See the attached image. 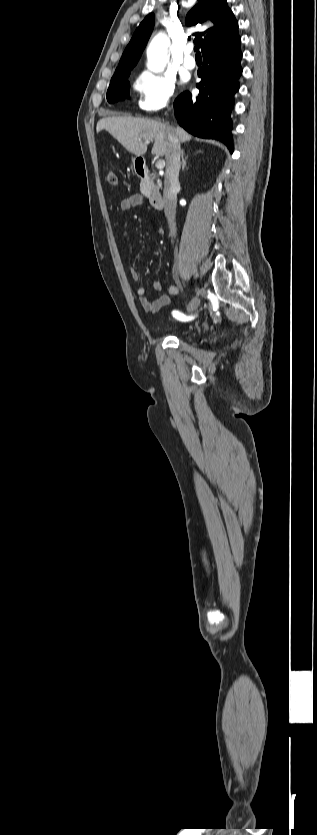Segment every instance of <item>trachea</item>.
Wrapping results in <instances>:
<instances>
[{"label":"trachea","mask_w":317,"mask_h":835,"mask_svg":"<svg viewBox=\"0 0 317 835\" xmlns=\"http://www.w3.org/2000/svg\"><path fill=\"white\" fill-rule=\"evenodd\" d=\"M194 51L196 52V56H201V53L199 52V46L198 45H196L194 47Z\"/></svg>","instance_id":"trachea-1"}]
</instances>
